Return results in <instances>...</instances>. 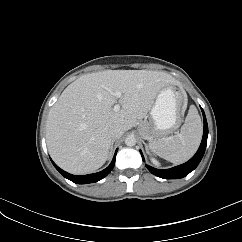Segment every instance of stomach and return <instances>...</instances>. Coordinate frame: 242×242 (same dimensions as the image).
Here are the masks:
<instances>
[{
	"instance_id": "stomach-1",
	"label": "stomach",
	"mask_w": 242,
	"mask_h": 242,
	"mask_svg": "<svg viewBox=\"0 0 242 242\" xmlns=\"http://www.w3.org/2000/svg\"><path fill=\"white\" fill-rule=\"evenodd\" d=\"M186 95L175 86L168 85L158 93L151 109L152 126L141 131V135L151 142L175 131L186 107Z\"/></svg>"
}]
</instances>
